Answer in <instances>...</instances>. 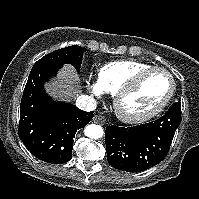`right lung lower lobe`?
Listing matches in <instances>:
<instances>
[{
    "instance_id": "obj_1",
    "label": "right lung lower lobe",
    "mask_w": 199,
    "mask_h": 199,
    "mask_svg": "<svg viewBox=\"0 0 199 199\" xmlns=\"http://www.w3.org/2000/svg\"><path fill=\"white\" fill-rule=\"evenodd\" d=\"M62 66L44 65L32 69L20 105V139L34 156L53 164L71 159L76 131L93 118V112L53 101L45 92L44 83Z\"/></svg>"
}]
</instances>
